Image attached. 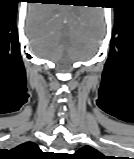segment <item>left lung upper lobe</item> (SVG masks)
<instances>
[{
	"label": "left lung upper lobe",
	"mask_w": 134,
	"mask_h": 159,
	"mask_svg": "<svg viewBox=\"0 0 134 159\" xmlns=\"http://www.w3.org/2000/svg\"><path fill=\"white\" fill-rule=\"evenodd\" d=\"M71 159H107V157L90 146H84L71 155Z\"/></svg>",
	"instance_id": "1"
}]
</instances>
